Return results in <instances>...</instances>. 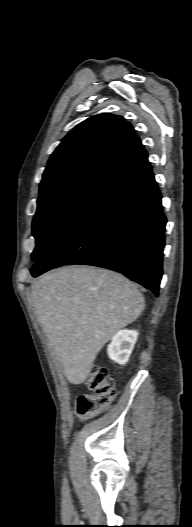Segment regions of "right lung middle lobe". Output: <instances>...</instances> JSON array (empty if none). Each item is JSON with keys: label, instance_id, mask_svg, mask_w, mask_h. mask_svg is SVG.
<instances>
[{"label": "right lung middle lobe", "instance_id": "obj_1", "mask_svg": "<svg viewBox=\"0 0 192 527\" xmlns=\"http://www.w3.org/2000/svg\"><path fill=\"white\" fill-rule=\"evenodd\" d=\"M107 180L85 177L40 192L33 220L36 248L32 260L39 261L78 218Z\"/></svg>", "mask_w": 192, "mask_h": 527}]
</instances>
